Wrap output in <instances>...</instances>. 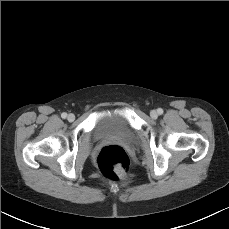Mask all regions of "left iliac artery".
Wrapping results in <instances>:
<instances>
[{"instance_id": "1", "label": "left iliac artery", "mask_w": 229, "mask_h": 229, "mask_svg": "<svg viewBox=\"0 0 229 229\" xmlns=\"http://www.w3.org/2000/svg\"><path fill=\"white\" fill-rule=\"evenodd\" d=\"M157 113H158L159 115H162V114H163V109L158 108V109H157Z\"/></svg>"}]
</instances>
